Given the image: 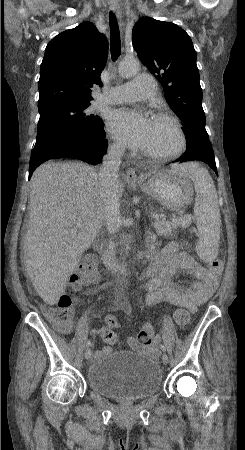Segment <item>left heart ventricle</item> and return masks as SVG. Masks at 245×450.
<instances>
[{
    "label": "left heart ventricle",
    "mask_w": 245,
    "mask_h": 450,
    "mask_svg": "<svg viewBox=\"0 0 245 450\" xmlns=\"http://www.w3.org/2000/svg\"><path fill=\"white\" fill-rule=\"evenodd\" d=\"M177 142V134L169 124L153 120L144 151H169L177 145Z\"/></svg>",
    "instance_id": "left-heart-ventricle-1"
}]
</instances>
